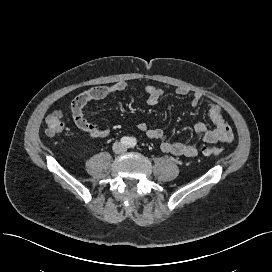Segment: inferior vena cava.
Masks as SVG:
<instances>
[{
    "label": "inferior vena cava",
    "instance_id": "1",
    "mask_svg": "<svg viewBox=\"0 0 272 272\" xmlns=\"http://www.w3.org/2000/svg\"><path fill=\"white\" fill-rule=\"evenodd\" d=\"M126 150L125 146L121 144L120 142H116L113 144V151L116 153H121Z\"/></svg>",
    "mask_w": 272,
    "mask_h": 272
}]
</instances>
